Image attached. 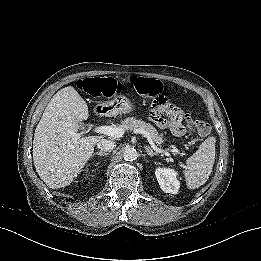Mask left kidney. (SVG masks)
<instances>
[{
  "instance_id": "left-kidney-1",
  "label": "left kidney",
  "mask_w": 261,
  "mask_h": 261,
  "mask_svg": "<svg viewBox=\"0 0 261 261\" xmlns=\"http://www.w3.org/2000/svg\"><path fill=\"white\" fill-rule=\"evenodd\" d=\"M155 175L160 185V188L165 193H171V194L178 193L180 182L177 179L178 173L174 169L166 168V167H162V168L158 167L155 170Z\"/></svg>"
}]
</instances>
